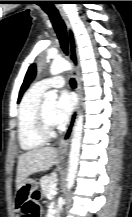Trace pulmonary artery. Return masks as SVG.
Wrapping results in <instances>:
<instances>
[{"mask_svg":"<svg viewBox=\"0 0 132 217\" xmlns=\"http://www.w3.org/2000/svg\"><path fill=\"white\" fill-rule=\"evenodd\" d=\"M65 83L66 81L62 76H55L43 79L37 82L36 85L43 90H47L49 88H61Z\"/></svg>","mask_w":132,"mask_h":217,"instance_id":"1","label":"pulmonary artery"}]
</instances>
